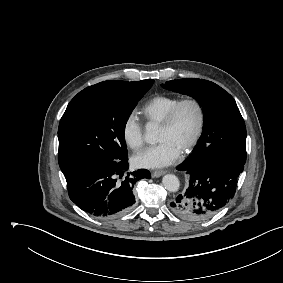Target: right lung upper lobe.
<instances>
[{
  "label": "right lung upper lobe",
  "mask_w": 283,
  "mask_h": 283,
  "mask_svg": "<svg viewBox=\"0 0 283 283\" xmlns=\"http://www.w3.org/2000/svg\"><path fill=\"white\" fill-rule=\"evenodd\" d=\"M135 83L137 82H127V81H119V80L104 81L89 86L80 93H86V92L109 93V92L132 87Z\"/></svg>",
  "instance_id": "cb5924a9"
}]
</instances>
